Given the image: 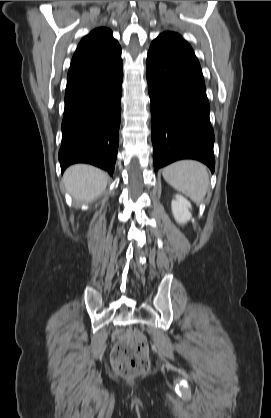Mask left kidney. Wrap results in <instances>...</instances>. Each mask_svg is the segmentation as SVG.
<instances>
[{"instance_id":"obj_1","label":"left kidney","mask_w":271,"mask_h":418,"mask_svg":"<svg viewBox=\"0 0 271 418\" xmlns=\"http://www.w3.org/2000/svg\"><path fill=\"white\" fill-rule=\"evenodd\" d=\"M172 213L177 223L185 224L191 218V203L183 196L176 194L171 203Z\"/></svg>"}]
</instances>
